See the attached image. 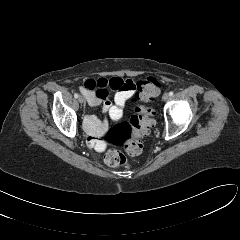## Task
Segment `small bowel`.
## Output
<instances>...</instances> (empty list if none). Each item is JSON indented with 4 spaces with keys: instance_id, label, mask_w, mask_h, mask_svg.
Instances as JSON below:
<instances>
[{
    "instance_id": "1",
    "label": "small bowel",
    "mask_w": 240,
    "mask_h": 240,
    "mask_svg": "<svg viewBox=\"0 0 240 240\" xmlns=\"http://www.w3.org/2000/svg\"><path fill=\"white\" fill-rule=\"evenodd\" d=\"M135 83L131 79L119 77L87 79L79 88L85 96L87 103L92 106L102 104L106 117L98 120L92 115H87L84 119V128L90 135V141L99 136L108 126L109 120L116 121L122 117L125 103L135 94ZM109 90L114 92V104L109 99Z\"/></svg>"
}]
</instances>
